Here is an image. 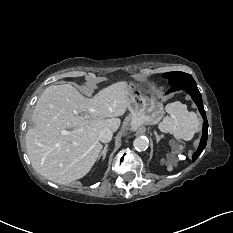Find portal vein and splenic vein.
Instances as JSON below:
<instances>
[{
	"mask_svg": "<svg viewBox=\"0 0 233 233\" xmlns=\"http://www.w3.org/2000/svg\"><path fill=\"white\" fill-rule=\"evenodd\" d=\"M60 133H61L62 135H69V134H70V131L60 130Z\"/></svg>",
	"mask_w": 233,
	"mask_h": 233,
	"instance_id": "1",
	"label": "portal vein and splenic vein"
}]
</instances>
